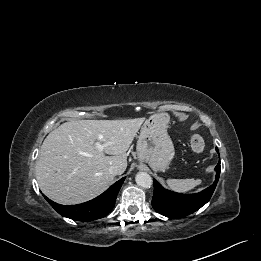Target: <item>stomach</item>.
I'll return each instance as SVG.
<instances>
[{
	"label": "stomach",
	"instance_id": "stomach-1",
	"mask_svg": "<svg viewBox=\"0 0 261 261\" xmlns=\"http://www.w3.org/2000/svg\"><path fill=\"white\" fill-rule=\"evenodd\" d=\"M167 113L151 115L145 120L137 142V155L154 171H164L174 157L172 140L167 133L169 123Z\"/></svg>",
	"mask_w": 261,
	"mask_h": 261
}]
</instances>
